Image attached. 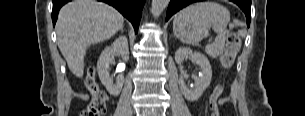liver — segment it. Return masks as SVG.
I'll return each instance as SVG.
<instances>
[{"label":"liver","mask_w":305,"mask_h":116,"mask_svg":"<svg viewBox=\"0 0 305 116\" xmlns=\"http://www.w3.org/2000/svg\"><path fill=\"white\" fill-rule=\"evenodd\" d=\"M123 23V16L103 2L73 0L64 5L59 11L56 33L70 71L81 78L86 49L112 37Z\"/></svg>","instance_id":"obj_1"}]
</instances>
